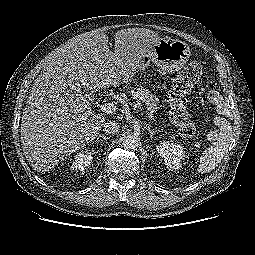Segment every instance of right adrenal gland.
Listing matches in <instances>:
<instances>
[{"instance_id": "right-adrenal-gland-1", "label": "right adrenal gland", "mask_w": 255, "mask_h": 255, "mask_svg": "<svg viewBox=\"0 0 255 255\" xmlns=\"http://www.w3.org/2000/svg\"><path fill=\"white\" fill-rule=\"evenodd\" d=\"M98 138H102L103 140H105V141H107V140H109L110 139V137H106L104 134H99L98 136H97Z\"/></svg>"}]
</instances>
